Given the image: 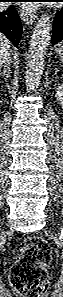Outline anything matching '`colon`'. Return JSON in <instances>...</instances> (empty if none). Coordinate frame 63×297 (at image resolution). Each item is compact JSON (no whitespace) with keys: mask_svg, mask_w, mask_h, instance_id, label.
I'll use <instances>...</instances> for the list:
<instances>
[{"mask_svg":"<svg viewBox=\"0 0 63 297\" xmlns=\"http://www.w3.org/2000/svg\"><path fill=\"white\" fill-rule=\"evenodd\" d=\"M51 259L48 244L37 237L26 238L12 269L11 285L22 297H42L48 288L46 266Z\"/></svg>","mask_w":63,"mask_h":297,"instance_id":"5ec220e1","label":"colon"}]
</instances>
